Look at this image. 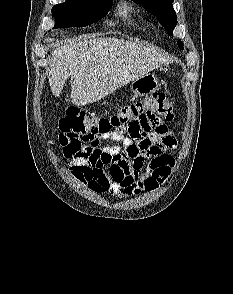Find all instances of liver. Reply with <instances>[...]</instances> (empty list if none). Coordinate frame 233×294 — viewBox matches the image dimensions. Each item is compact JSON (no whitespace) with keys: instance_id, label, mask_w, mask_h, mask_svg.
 Wrapping results in <instances>:
<instances>
[{"instance_id":"1","label":"liver","mask_w":233,"mask_h":294,"mask_svg":"<svg viewBox=\"0 0 233 294\" xmlns=\"http://www.w3.org/2000/svg\"><path fill=\"white\" fill-rule=\"evenodd\" d=\"M169 63L171 58L137 43L85 38L52 52L48 79L53 95L59 97L71 77V101L75 106H84Z\"/></svg>"}]
</instances>
